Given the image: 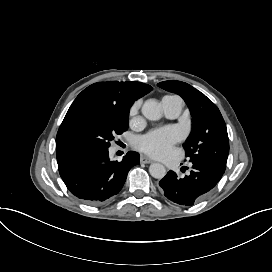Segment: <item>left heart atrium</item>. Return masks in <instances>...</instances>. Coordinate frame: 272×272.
I'll return each mask as SVG.
<instances>
[{
    "mask_svg": "<svg viewBox=\"0 0 272 272\" xmlns=\"http://www.w3.org/2000/svg\"><path fill=\"white\" fill-rule=\"evenodd\" d=\"M175 143V137L169 128H161L141 138L136 147L147 154L163 158L172 149Z\"/></svg>",
    "mask_w": 272,
    "mask_h": 272,
    "instance_id": "left-heart-atrium-1",
    "label": "left heart atrium"
}]
</instances>
